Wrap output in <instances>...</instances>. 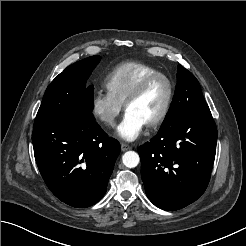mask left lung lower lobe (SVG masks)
Listing matches in <instances>:
<instances>
[{"instance_id": "0a47b994", "label": "left lung lower lobe", "mask_w": 246, "mask_h": 246, "mask_svg": "<svg viewBox=\"0 0 246 246\" xmlns=\"http://www.w3.org/2000/svg\"><path fill=\"white\" fill-rule=\"evenodd\" d=\"M217 128L208 109L177 117L138 148L146 195L157 207L174 211L206 190L213 167Z\"/></svg>"}]
</instances>
